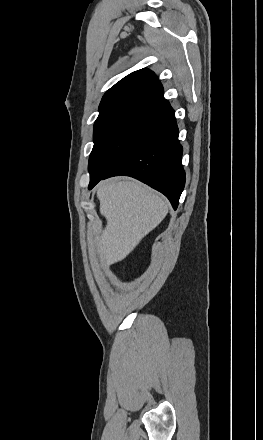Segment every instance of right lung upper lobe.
<instances>
[{"label": "right lung upper lobe", "mask_w": 263, "mask_h": 440, "mask_svg": "<svg viewBox=\"0 0 263 440\" xmlns=\"http://www.w3.org/2000/svg\"><path fill=\"white\" fill-rule=\"evenodd\" d=\"M164 102L166 99L161 83L152 71L144 68L127 75L111 87L101 100L99 112L124 107H160Z\"/></svg>", "instance_id": "1"}]
</instances>
